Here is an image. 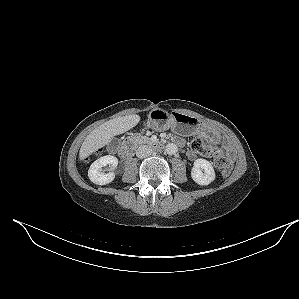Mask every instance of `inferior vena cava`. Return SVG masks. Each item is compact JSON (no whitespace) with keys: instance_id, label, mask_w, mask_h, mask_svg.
<instances>
[{"instance_id":"1","label":"inferior vena cava","mask_w":299,"mask_h":299,"mask_svg":"<svg viewBox=\"0 0 299 299\" xmlns=\"http://www.w3.org/2000/svg\"><path fill=\"white\" fill-rule=\"evenodd\" d=\"M153 150L150 146L142 145L136 150V156L138 158H145L152 154Z\"/></svg>"}]
</instances>
